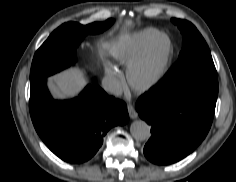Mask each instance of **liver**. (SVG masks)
I'll use <instances>...</instances> for the list:
<instances>
[{"mask_svg": "<svg viewBox=\"0 0 236 182\" xmlns=\"http://www.w3.org/2000/svg\"><path fill=\"white\" fill-rule=\"evenodd\" d=\"M107 47V45H103ZM86 84V79L80 70H68L50 78V87L58 98L77 95Z\"/></svg>", "mask_w": 236, "mask_h": 182, "instance_id": "1", "label": "liver"}]
</instances>
